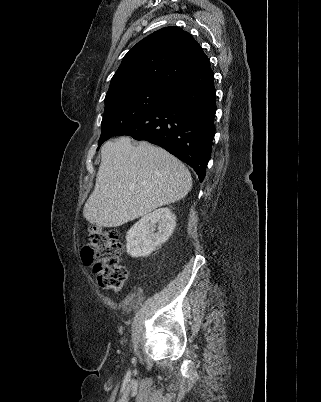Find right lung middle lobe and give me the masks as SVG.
<instances>
[{"instance_id":"right-lung-middle-lobe-1","label":"right lung middle lobe","mask_w":321,"mask_h":402,"mask_svg":"<svg viewBox=\"0 0 321 402\" xmlns=\"http://www.w3.org/2000/svg\"><path fill=\"white\" fill-rule=\"evenodd\" d=\"M168 90L167 85L151 83L106 96L98 149L110 137L154 109L167 97Z\"/></svg>"}]
</instances>
